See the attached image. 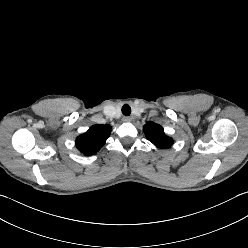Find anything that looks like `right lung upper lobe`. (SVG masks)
Wrapping results in <instances>:
<instances>
[{
	"instance_id": "1",
	"label": "right lung upper lobe",
	"mask_w": 248,
	"mask_h": 248,
	"mask_svg": "<svg viewBox=\"0 0 248 248\" xmlns=\"http://www.w3.org/2000/svg\"><path fill=\"white\" fill-rule=\"evenodd\" d=\"M111 130L109 125H93L86 133L77 137L76 147L86 156L93 155L105 144Z\"/></svg>"
}]
</instances>
